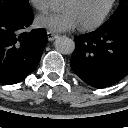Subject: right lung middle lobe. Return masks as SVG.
<instances>
[{
  "label": "right lung middle lobe",
  "instance_id": "1",
  "mask_svg": "<svg viewBox=\"0 0 128 128\" xmlns=\"http://www.w3.org/2000/svg\"><path fill=\"white\" fill-rule=\"evenodd\" d=\"M31 13L28 0H0V17L11 18Z\"/></svg>",
  "mask_w": 128,
  "mask_h": 128
}]
</instances>
